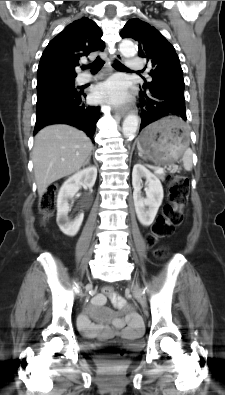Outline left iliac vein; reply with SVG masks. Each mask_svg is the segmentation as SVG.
Returning <instances> with one entry per match:
<instances>
[{
	"instance_id": "left-iliac-vein-1",
	"label": "left iliac vein",
	"mask_w": 225,
	"mask_h": 395,
	"mask_svg": "<svg viewBox=\"0 0 225 395\" xmlns=\"http://www.w3.org/2000/svg\"><path fill=\"white\" fill-rule=\"evenodd\" d=\"M131 290H132L133 294L135 295V297L137 298V300L140 302V304L143 307H146V299H145L144 294L140 290V288L138 286L132 284Z\"/></svg>"
}]
</instances>
